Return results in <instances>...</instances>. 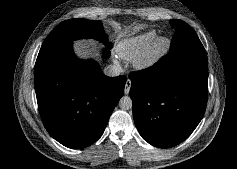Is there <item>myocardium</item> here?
Instances as JSON below:
<instances>
[{"instance_id": "f54148a6", "label": "myocardium", "mask_w": 237, "mask_h": 169, "mask_svg": "<svg viewBox=\"0 0 237 169\" xmlns=\"http://www.w3.org/2000/svg\"><path fill=\"white\" fill-rule=\"evenodd\" d=\"M171 40L168 36L155 38L147 48L133 61L137 69H146L162 59L170 49Z\"/></svg>"}]
</instances>
